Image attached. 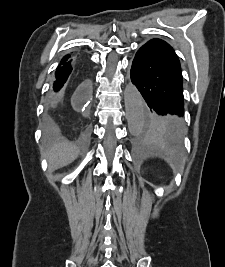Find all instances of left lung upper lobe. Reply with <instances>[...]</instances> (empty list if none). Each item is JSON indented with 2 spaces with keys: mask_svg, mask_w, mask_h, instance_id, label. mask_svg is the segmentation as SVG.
<instances>
[{
  "mask_svg": "<svg viewBox=\"0 0 225 267\" xmlns=\"http://www.w3.org/2000/svg\"><path fill=\"white\" fill-rule=\"evenodd\" d=\"M144 126L145 129L152 133L161 134L173 140H179V136L173 131L168 119L162 116L155 115L150 109L144 111ZM182 128H184L183 121H181Z\"/></svg>",
  "mask_w": 225,
  "mask_h": 267,
  "instance_id": "obj_1",
  "label": "left lung upper lobe"
}]
</instances>
